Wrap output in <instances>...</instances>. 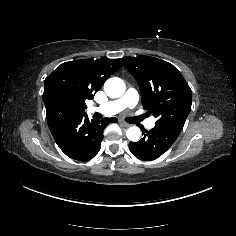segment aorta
I'll return each instance as SVG.
<instances>
[{
	"label": "aorta",
	"instance_id": "aorta-1",
	"mask_svg": "<svg viewBox=\"0 0 236 236\" xmlns=\"http://www.w3.org/2000/svg\"><path fill=\"white\" fill-rule=\"evenodd\" d=\"M125 89L124 82L117 77L108 79L104 84V91L110 98L121 97L124 94ZM126 136L130 141L136 142L141 136V130L137 126H132L127 129Z\"/></svg>",
	"mask_w": 236,
	"mask_h": 236
}]
</instances>
